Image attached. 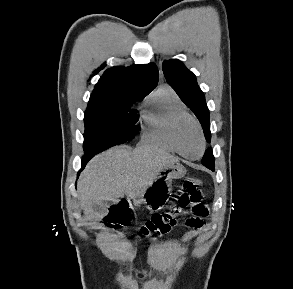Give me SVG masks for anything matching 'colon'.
Returning <instances> with one entry per match:
<instances>
[{
	"mask_svg": "<svg viewBox=\"0 0 293 289\" xmlns=\"http://www.w3.org/2000/svg\"><path fill=\"white\" fill-rule=\"evenodd\" d=\"M201 181L194 178H186L182 188L174 195L173 202L167 211L153 215L140 227L142 236H158L166 234L176 224V218L183 215L185 211L192 212L198 218L208 215L209 209L203 201L200 189ZM129 215L124 203L113 206L105 218V224L109 227H121L128 221ZM187 225L193 227L197 220L190 218Z\"/></svg>",
	"mask_w": 293,
	"mask_h": 289,
	"instance_id": "obj_1",
	"label": "colon"
}]
</instances>
